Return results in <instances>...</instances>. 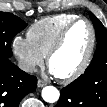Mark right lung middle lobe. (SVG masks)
I'll return each mask as SVG.
<instances>
[{
  "label": "right lung middle lobe",
  "instance_id": "1",
  "mask_svg": "<svg viewBox=\"0 0 107 107\" xmlns=\"http://www.w3.org/2000/svg\"><path fill=\"white\" fill-rule=\"evenodd\" d=\"M26 26L27 23L12 13L0 12V57L12 56L11 41Z\"/></svg>",
  "mask_w": 107,
  "mask_h": 107
}]
</instances>
